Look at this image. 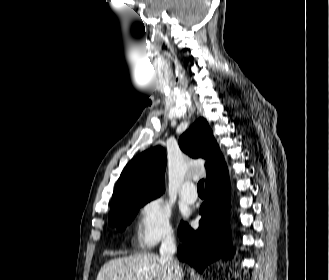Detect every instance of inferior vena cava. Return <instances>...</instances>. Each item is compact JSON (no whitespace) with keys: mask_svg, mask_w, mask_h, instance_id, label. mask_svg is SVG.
I'll return each mask as SVG.
<instances>
[{"mask_svg":"<svg viewBox=\"0 0 329 280\" xmlns=\"http://www.w3.org/2000/svg\"><path fill=\"white\" fill-rule=\"evenodd\" d=\"M176 252V244L173 233H168L163 239L160 246L161 259L170 267L173 280H182L183 271L179 262L174 259L173 255Z\"/></svg>","mask_w":329,"mask_h":280,"instance_id":"inferior-vena-cava-1","label":"inferior vena cava"}]
</instances>
